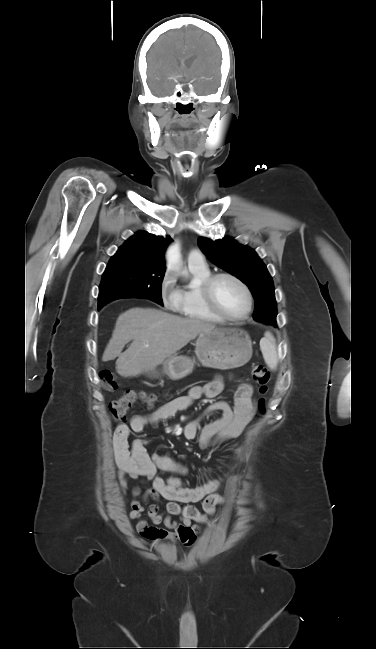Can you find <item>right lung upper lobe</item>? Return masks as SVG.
<instances>
[{"label":"right lung upper lobe","instance_id":"right-lung-upper-lobe-1","mask_svg":"<svg viewBox=\"0 0 376 649\" xmlns=\"http://www.w3.org/2000/svg\"><path fill=\"white\" fill-rule=\"evenodd\" d=\"M172 239L139 231L129 238L113 257H129L147 262L150 271L165 270L164 252Z\"/></svg>","mask_w":376,"mask_h":649}]
</instances>
